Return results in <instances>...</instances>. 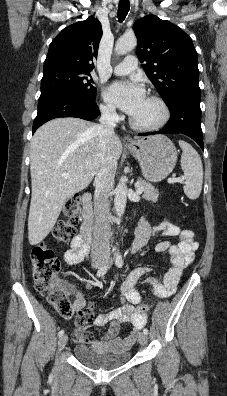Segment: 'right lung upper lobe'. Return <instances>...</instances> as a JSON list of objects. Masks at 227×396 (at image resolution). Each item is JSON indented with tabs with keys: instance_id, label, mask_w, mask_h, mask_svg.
Listing matches in <instances>:
<instances>
[{
	"instance_id": "1",
	"label": "right lung upper lobe",
	"mask_w": 227,
	"mask_h": 396,
	"mask_svg": "<svg viewBox=\"0 0 227 396\" xmlns=\"http://www.w3.org/2000/svg\"><path fill=\"white\" fill-rule=\"evenodd\" d=\"M101 36V24L94 16L64 28L50 44L43 71L65 68L90 72Z\"/></svg>"
}]
</instances>
